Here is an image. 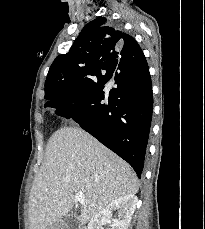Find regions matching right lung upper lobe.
<instances>
[{"label": "right lung upper lobe", "instance_id": "right-lung-upper-lobe-1", "mask_svg": "<svg viewBox=\"0 0 205 229\" xmlns=\"http://www.w3.org/2000/svg\"><path fill=\"white\" fill-rule=\"evenodd\" d=\"M141 56L143 52L132 36L113 27L107 18L98 17L85 25L69 52L52 63L45 99L50 102L71 96L96 77H111L119 65L137 66Z\"/></svg>", "mask_w": 205, "mask_h": 229}]
</instances>
